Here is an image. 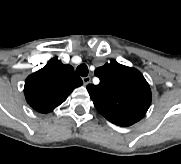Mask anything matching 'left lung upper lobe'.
I'll return each mask as SVG.
<instances>
[{
	"label": "left lung upper lobe",
	"instance_id": "obj_1",
	"mask_svg": "<svg viewBox=\"0 0 181 164\" xmlns=\"http://www.w3.org/2000/svg\"><path fill=\"white\" fill-rule=\"evenodd\" d=\"M98 85L87 90L98 112L119 126H130L142 119L151 104L150 86L137 69L106 63L95 70Z\"/></svg>",
	"mask_w": 181,
	"mask_h": 164
}]
</instances>
